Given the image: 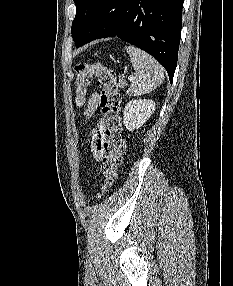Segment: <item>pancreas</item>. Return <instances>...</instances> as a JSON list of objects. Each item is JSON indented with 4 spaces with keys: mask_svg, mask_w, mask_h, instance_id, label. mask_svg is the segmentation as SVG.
I'll return each mask as SVG.
<instances>
[{
    "mask_svg": "<svg viewBox=\"0 0 233 286\" xmlns=\"http://www.w3.org/2000/svg\"><path fill=\"white\" fill-rule=\"evenodd\" d=\"M126 85H127L126 81H124L122 78H119L118 86L120 88H124Z\"/></svg>",
    "mask_w": 233,
    "mask_h": 286,
    "instance_id": "pancreas-1",
    "label": "pancreas"
}]
</instances>
